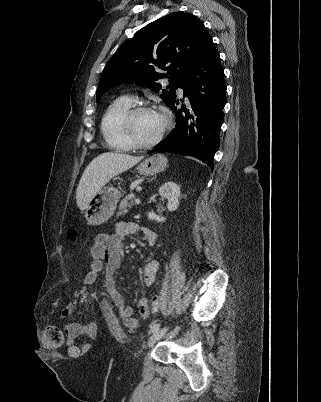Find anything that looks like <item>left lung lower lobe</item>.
Returning <instances> with one entry per match:
<instances>
[{
  "label": "left lung lower lobe",
  "mask_w": 321,
  "mask_h": 402,
  "mask_svg": "<svg viewBox=\"0 0 321 402\" xmlns=\"http://www.w3.org/2000/svg\"><path fill=\"white\" fill-rule=\"evenodd\" d=\"M188 101L177 110L175 100L169 105L175 111L176 126L153 152H174L194 156L213 169L219 148L222 110L225 106L224 69L210 38L198 58L181 79Z\"/></svg>",
  "instance_id": "1"
}]
</instances>
